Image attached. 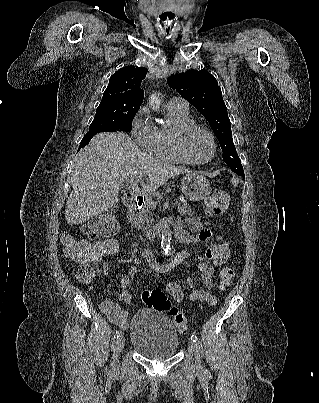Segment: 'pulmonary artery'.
I'll return each instance as SVG.
<instances>
[{"instance_id":"e3ab8cb5","label":"pulmonary artery","mask_w":319,"mask_h":403,"mask_svg":"<svg viewBox=\"0 0 319 403\" xmlns=\"http://www.w3.org/2000/svg\"><path fill=\"white\" fill-rule=\"evenodd\" d=\"M167 107L177 108L181 110H189L188 102L181 97H173L169 100Z\"/></svg>"}]
</instances>
